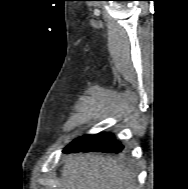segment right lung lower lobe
Listing matches in <instances>:
<instances>
[{
    "label": "right lung lower lobe",
    "instance_id": "1",
    "mask_svg": "<svg viewBox=\"0 0 188 189\" xmlns=\"http://www.w3.org/2000/svg\"><path fill=\"white\" fill-rule=\"evenodd\" d=\"M124 146L115 139L111 133H98L94 135H85L71 142L63 152H103L119 153Z\"/></svg>",
    "mask_w": 188,
    "mask_h": 189
}]
</instances>
